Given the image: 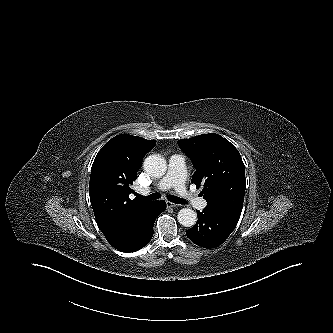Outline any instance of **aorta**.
Returning a JSON list of instances; mask_svg holds the SVG:
<instances>
[{"instance_id":"762f6f07","label":"aorta","mask_w":333,"mask_h":333,"mask_svg":"<svg viewBox=\"0 0 333 333\" xmlns=\"http://www.w3.org/2000/svg\"><path fill=\"white\" fill-rule=\"evenodd\" d=\"M143 167L147 174L155 178L162 177L167 170L166 160L156 154L148 156L144 160ZM177 219L181 225L191 227L197 221V214L192 209L183 208L178 212Z\"/></svg>"}]
</instances>
